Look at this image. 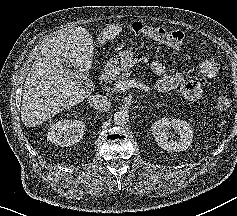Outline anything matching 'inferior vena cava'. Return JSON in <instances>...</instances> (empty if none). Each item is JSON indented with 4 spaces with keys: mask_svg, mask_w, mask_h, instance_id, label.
I'll use <instances>...</instances> for the list:
<instances>
[{
    "mask_svg": "<svg viewBox=\"0 0 237 216\" xmlns=\"http://www.w3.org/2000/svg\"><path fill=\"white\" fill-rule=\"evenodd\" d=\"M88 104L99 112H108L111 107L110 99L104 95H93L88 97Z\"/></svg>",
    "mask_w": 237,
    "mask_h": 216,
    "instance_id": "602c4592",
    "label": "inferior vena cava"
}]
</instances>
